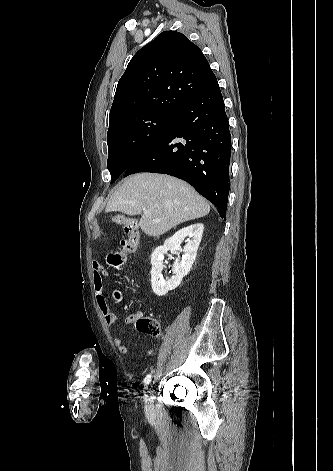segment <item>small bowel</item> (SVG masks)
<instances>
[{
    "label": "small bowel",
    "mask_w": 333,
    "mask_h": 471,
    "mask_svg": "<svg viewBox=\"0 0 333 471\" xmlns=\"http://www.w3.org/2000/svg\"><path fill=\"white\" fill-rule=\"evenodd\" d=\"M92 271H93V284H94V290H95V298L97 305L102 312L105 322L108 326H112L117 323L118 321V316L112 312L107 304L106 298L104 296V291H103V277L108 276L107 270L104 268L102 263L99 261H93L92 263ZM142 316L140 312L133 313L129 316L126 317L125 323L126 324H133L136 322V320ZM114 344L117 348V350L121 354H128L129 353V348L125 345L123 339L121 337H116L114 339ZM153 349L149 350L147 352L148 355H151L153 353Z\"/></svg>",
    "instance_id": "c3829d8e"
}]
</instances>
